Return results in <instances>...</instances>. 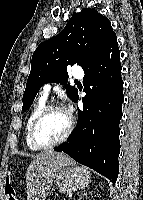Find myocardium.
<instances>
[{"label": "myocardium", "instance_id": "myocardium-1", "mask_svg": "<svg viewBox=\"0 0 143 200\" xmlns=\"http://www.w3.org/2000/svg\"><path fill=\"white\" fill-rule=\"evenodd\" d=\"M54 110H63L66 112L64 107L61 106L60 104H57V103L47 104L44 107V109L38 114V116L35 118V120L33 121L32 125H31L30 140H31V143L33 144V146H35L38 149H49V148L55 147L59 144H62L69 138V136L73 130L74 120H73L72 116L69 114L68 115L69 116V124H68V127H67L65 133L62 135V137H60L58 140L50 142V143H42L38 139L37 131H38L40 124L47 117V115Z\"/></svg>", "mask_w": 143, "mask_h": 200}]
</instances>
